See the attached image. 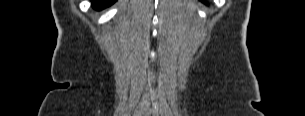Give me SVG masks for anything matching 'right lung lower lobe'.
Returning a JSON list of instances; mask_svg holds the SVG:
<instances>
[{"instance_id":"obj_1","label":"right lung lower lobe","mask_w":305,"mask_h":116,"mask_svg":"<svg viewBox=\"0 0 305 116\" xmlns=\"http://www.w3.org/2000/svg\"><path fill=\"white\" fill-rule=\"evenodd\" d=\"M114 2L115 0H92V5L95 9L100 10L110 6Z\"/></svg>"}]
</instances>
